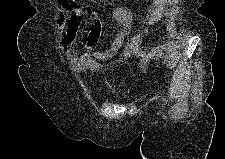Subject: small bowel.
Instances as JSON below:
<instances>
[{
    "label": "small bowel",
    "mask_w": 225,
    "mask_h": 159,
    "mask_svg": "<svg viewBox=\"0 0 225 159\" xmlns=\"http://www.w3.org/2000/svg\"><path fill=\"white\" fill-rule=\"evenodd\" d=\"M163 5L162 1L155 3V8L152 12L153 18H157L160 15ZM84 15L91 17L93 26L87 35L83 58L88 62L90 70L94 75L114 70L131 55L139 58L138 69H144L149 60L152 57L158 56L164 48L163 46H158L149 52L143 51L140 47L143 36L141 34L133 36L131 12L122 6H116L113 8V16L121 27L120 33L110 48L107 50H96L102 30L100 19L91 8L69 6L67 16L61 12L57 17L58 33L64 31V36L60 41V49L63 52L68 51L75 41L81 19ZM125 40L127 42L122 55L110 62L104 63L103 61H108L116 55Z\"/></svg>",
    "instance_id": "small-bowel-1"
}]
</instances>
